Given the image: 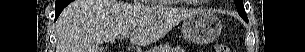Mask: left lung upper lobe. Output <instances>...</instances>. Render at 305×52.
<instances>
[{
    "instance_id": "left-lung-upper-lobe-1",
    "label": "left lung upper lobe",
    "mask_w": 305,
    "mask_h": 52,
    "mask_svg": "<svg viewBox=\"0 0 305 52\" xmlns=\"http://www.w3.org/2000/svg\"><path fill=\"white\" fill-rule=\"evenodd\" d=\"M236 8L238 9L239 15L244 19L247 20V15L243 6V0H235Z\"/></svg>"
}]
</instances>
